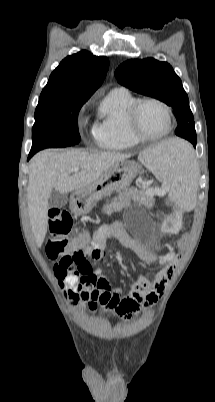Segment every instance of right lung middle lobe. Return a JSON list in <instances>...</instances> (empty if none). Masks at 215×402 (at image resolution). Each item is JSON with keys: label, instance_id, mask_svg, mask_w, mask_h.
Here are the masks:
<instances>
[{"label": "right lung middle lobe", "instance_id": "right-lung-middle-lobe-1", "mask_svg": "<svg viewBox=\"0 0 215 402\" xmlns=\"http://www.w3.org/2000/svg\"><path fill=\"white\" fill-rule=\"evenodd\" d=\"M89 98L40 96L32 128L34 155L48 147H67L80 142L78 112Z\"/></svg>", "mask_w": 215, "mask_h": 402}]
</instances>
